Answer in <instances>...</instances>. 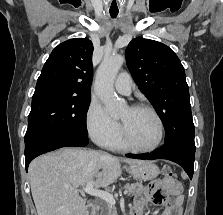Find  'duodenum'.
Segmentation results:
<instances>
[{
  "mask_svg": "<svg viewBox=\"0 0 223 215\" xmlns=\"http://www.w3.org/2000/svg\"><path fill=\"white\" fill-rule=\"evenodd\" d=\"M85 215H96L94 205L89 202L87 207L85 208Z\"/></svg>",
  "mask_w": 223,
  "mask_h": 215,
  "instance_id": "duodenum-1",
  "label": "duodenum"
}]
</instances>
